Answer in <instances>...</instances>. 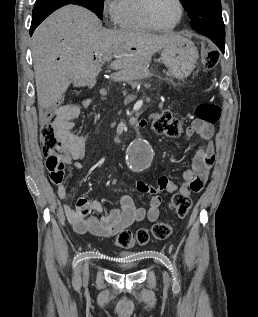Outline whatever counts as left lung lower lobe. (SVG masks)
I'll return each instance as SVG.
<instances>
[{
  "label": "left lung lower lobe",
  "mask_w": 258,
  "mask_h": 317,
  "mask_svg": "<svg viewBox=\"0 0 258 317\" xmlns=\"http://www.w3.org/2000/svg\"><path fill=\"white\" fill-rule=\"evenodd\" d=\"M198 33H201L208 38H210L224 53V46H225V29L222 28H198L195 29Z\"/></svg>",
  "instance_id": "left-lung-lower-lobe-1"
}]
</instances>
